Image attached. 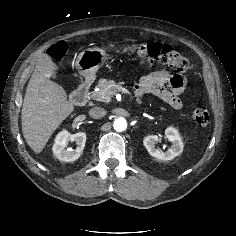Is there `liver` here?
I'll return each mask as SVG.
<instances>
[{"mask_svg": "<svg viewBox=\"0 0 236 236\" xmlns=\"http://www.w3.org/2000/svg\"><path fill=\"white\" fill-rule=\"evenodd\" d=\"M48 77L43 66L37 62L21 112L23 136L36 154L42 152L54 131L74 110L63 87Z\"/></svg>", "mask_w": 236, "mask_h": 236, "instance_id": "obj_1", "label": "liver"}]
</instances>
